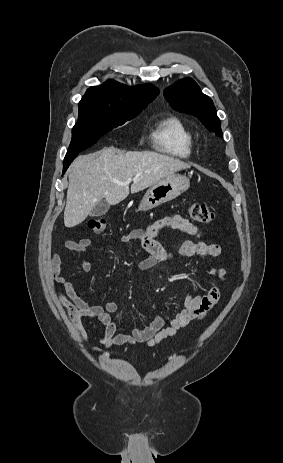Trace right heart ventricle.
<instances>
[{
  "label": "right heart ventricle",
  "mask_w": 283,
  "mask_h": 463,
  "mask_svg": "<svg viewBox=\"0 0 283 463\" xmlns=\"http://www.w3.org/2000/svg\"><path fill=\"white\" fill-rule=\"evenodd\" d=\"M152 141L158 151L177 158H188L194 149L193 133L177 116L159 122L152 132Z\"/></svg>",
  "instance_id": "right-heart-ventricle-1"
}]
</instances>
